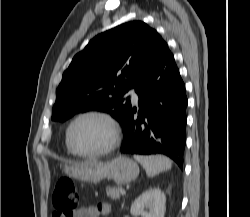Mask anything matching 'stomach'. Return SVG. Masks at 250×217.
Returning a JSON list of instances; mask_svg holds the SVG:
<instances>
[{"label": "stomach", "instance_id": "stomach-1", "mask_svg": "<svg viewBox=\"0 0 250 217\" xmlns=\"http://www.w3.org/2000/svg\"><path fill=\"white\" fill-rule=\"evenodd\" d=\"M67 172L78 179L98 183L107 178L117 184H126L135 180L139 174V167L132 159L121 156L109 162L86 161L73 164Z\"/></svg>", "mask_w": 250, "mask_h": 217}]
</instances>
